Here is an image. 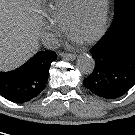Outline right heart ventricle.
<instances>
[{
    "label": "right heart ventricle",
    "mask_w": 135,
    "mask_h": 135,
    "mask_svg": "<svg viewBox=\"0 0 135 135\" xmlns=\"http://www.w3.org/2000/svg\"><path fill=\"white\" fill-rule=\"evenodd\" d=\"M82 0H52L48 6V16L59 27H66Z\"/></svg>",
    "instance_id": "right-heart-ventricle-1"
}]
</instances>
